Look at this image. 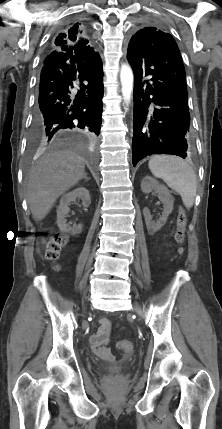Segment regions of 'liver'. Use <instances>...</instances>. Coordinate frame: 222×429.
Returning <instances> with one entry per match:
<instances>
[{
	"label": "liver",
	"mask_w": 222,
	"mask_h": 429,
	"mask_svg": "<svg viewBox=\"0 0 222 429\" xmlns=\"http://www.w3.org/2000/svg\"><path fill=\"white\" fill-rule=\"evenodd\" d=\"M84 159L68 150L44 154L32 166L26 183L27 202L35 221L50 212L57 198L85 176Z\"/></svg>",
	"instance_id": "obj_1"
}]
</instances>
